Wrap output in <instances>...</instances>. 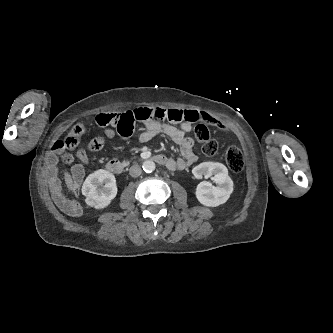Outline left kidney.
Listing matches in <instances>:
<instances>
[{"mask_svg": "<svg viewBox=\"0 0 333 333\" xmlns=\"http://www.w3.org/2000/svg\"><path fill=\"white\" fill-rule=\"evenodd\" d=\"M196 178L211 177L216 183L213 186L209 181H202L196 188L198 201L208 207H216L224 204L233 192V181L228 175L225 165L218 162H203L192 170Z\"/></svg>", "mask_w": 333, "mask_h": 333, "instance_id": "obj_1", "label": "left kidney"}]
</instances>
